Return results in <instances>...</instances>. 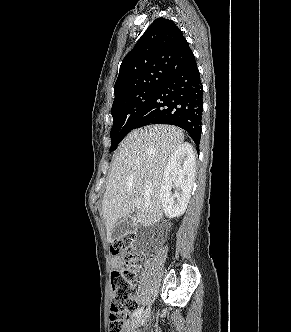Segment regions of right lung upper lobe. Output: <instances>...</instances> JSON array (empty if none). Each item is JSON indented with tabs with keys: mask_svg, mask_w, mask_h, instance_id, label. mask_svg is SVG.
Listing matches in <instances>:
<instances>
[{
	"mask_svg": "<svg viewBox=\"0 0 291 332\" xmlns=\"http://www.w3.org/2000/svg\"><path fill=\"white\" fill-rule=\"evenodd\" d=\"M193 60V52L176 24L157 18L123 59L114 86L115 100L162 82Z\"/></svg>",
	"mask_w": 291,
	"mask_h": 332,
	"instance_id": "right-lung-upper-lobe-1",
	"label": "right lung upper lobe"
}]
</instances>
